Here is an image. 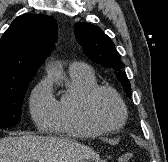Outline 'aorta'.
Masks as SVG:
<instances>
[{
	"label": "aorta",
	"instance_id": "1",
	"mask_svg": "<svg viewBox=\"0 0 168 162\" xmlns=\"http://www.w3.org/2000/svg\"><path fill=\"white\" fill-rule=\"evenodd\" d=\"M49 74L56 80L61 81L64 78L63 72L59 70L57 67H50Z\"/></svg>",
	"mask_w": 168,
	"mask_h": 162
}]
</instances>
